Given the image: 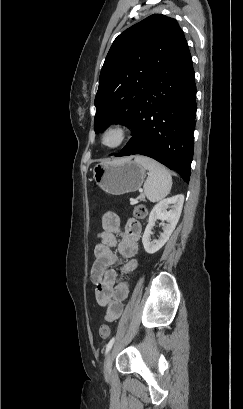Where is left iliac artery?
<instances>
[{
  "label": "left iliac artery",
  "mask_w": 243,
  "mask_h": 409,
  "mask_svg": "<svg viewBox=\"0 0 243 409\" xmlns=\"http://www.w3.org/2000/svg\"><path fill=\"white\" fill-rule=\"evenodd\" d=\"M114 342H115V337H113V338L108 342V344L106 345L105 354H107V353L109 352V350L112 348Z\"/></svg>",
  "instance_id": "obj_1"
}]
</instances>
